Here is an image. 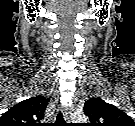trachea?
Instances as JSON below:
<instances>
[{
    "label": "trachea",
    "instance_id": "3493384b",
    "mask_svg": "<svg viewBox=\"0 0 135 126\" xmlns=\"http://www.w3.org/2000/svg\"><path fill=\"white\" fill-rule=\"evenodd\" d=\"M65 123L64 118H63V114L60 112L58 113L57 117H56V124H63Z\"/></svg>",
    "mask_w": 135,
    "mask_h": 126
}]
</instances>
